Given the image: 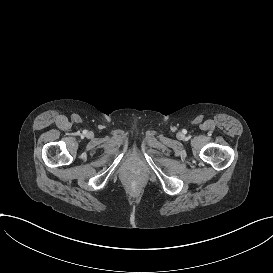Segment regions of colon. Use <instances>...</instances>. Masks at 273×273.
<instances>
[{"mask_svg":"<svg viewBox=\"0 0 273 273\" xmlns=\"http://www.w3.org/2000/svg\"><path fill=\"white\" fill-rule=\"evenodd\" d=\"M140 188V184L135 181V180H132L130 183H129V189L132 191V192H137Z\"/></svg>","mask_w":273,"mask_h":273,"instance_id":"5ec220e1","label":"colon"}]
</instances>
